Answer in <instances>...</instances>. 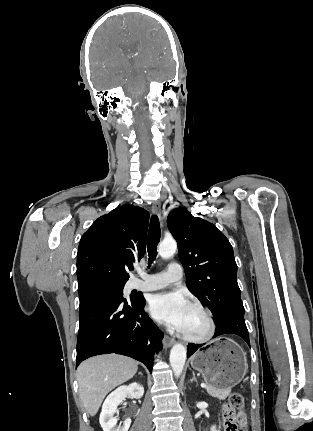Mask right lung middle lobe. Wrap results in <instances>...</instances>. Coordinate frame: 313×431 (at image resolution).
Returning <instances> with one entry per match:
<instances>
[{"label": "right lung middle lobe", "instance_id": "1", "mask_svg": "<svg viewBox=\"0 0 313 431\" xmlns=\"http://www.w3.org/2000/svg\"><path fill=\"white\" fill-rule=\"evenodd\" d=\"M125 284H121V285H113V286H107V287H103V288H108V289H113V290H117L123 293V288H124Z\"/></svg>", "mask_w": 313, "mask_h": 431}]
</instances>
